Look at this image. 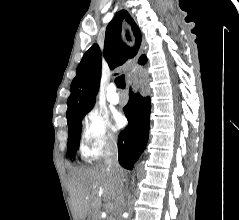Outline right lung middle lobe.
I'll use <instances>...</instances> for the list:
<instances>
[{
	"label": "right lung middle lobe",
	"mask_w": 239,
	"mask_h": 220,
	"mask_svg": "<svg viewBox=\"0 0 239 220\" xmlns=\"http://www.w3.org/2000/svg\"><path fill=\"white\" fill-rule=\"evenodd\" d=\"M86 115V114H85ZM85 115L80 116L71 124L68 125L69 137H68V154L70 158H74L76 150L79 148L80 136H81V120Z\"/></svg>",
	"instance_id": "obj_1"
}]
</instances>
